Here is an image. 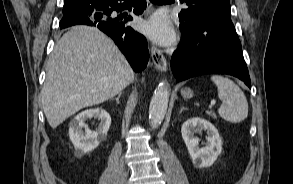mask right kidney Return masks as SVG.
Listing matches in <instances>:
<instances>
[{"label":"right kidney","instance_id":"right-kidney-1","mask_svg":"<svg viewBox=\"0 0 293 184\" xmlns=\"http://www.w3.org/2000/svg\"><path fill=\"white\" fill-rule=\"evenodd\" d=\"M91 118H96L100 121L96 131H91L85 123L86 120ZM69 125V138L75 148L74 154L76 157H82L97 148L100 142L106 139L111 125V117L102 108L89 109L75 116Z\"/></svg>","mask_w":293,"mask_h":184}]
</instances>
